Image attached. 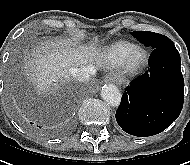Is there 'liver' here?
I'll return each instance as SVG.
<instances>
[{"mask_svg": "<svg viewBox=\"0 0 190 165\" xmlns=\"http://www.w3.org/2000/svg\"><path fill=\"white\" fill-rule=\"evenodd\" d=\"M98 52L93 44L77 46L69 41L48 40L33 49L24 64L25 74L39 93L46 94L70 80L71 68L92 66Z\"/></svg>", "mask_w": 190, "mask_h": 165, "instance_id": "obj_1", "label": "liver"}]
</instances>
